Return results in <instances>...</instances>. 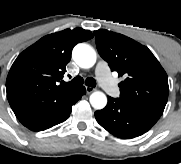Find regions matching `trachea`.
I'll return each mask as SVG.
<instances>
[{
  "label": "trachea",
  "instance_id": "3493384b",
  "mask_svg": "<svg viewBox=\"0 0 181 164\" xmlns=\"http://www.w3.org/2000/svg\"><path fill=\"white\" fill-rule=\"evenodd\" d=\"M84 82H85L86 85H88L90 87H95L96 86V81L92 77H88L84 81V79L82 77H80V76L75 77L70 82L65 83V85H68V86H81L82 84H84Z\"/></svg>",
  "mask_w": 181,
  "mask_h": 164
}]
</instances>
